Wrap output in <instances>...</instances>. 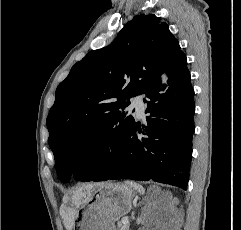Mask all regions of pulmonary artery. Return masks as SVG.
Listing matches in <instances>:
<instances>
[{"instance_id":"pulmonary-artery-1","label":"pulmonary artery","mask_w":241,"mask_h":230,"mask_svg":"<svg viewBox=\"0 0 241 230\" xmlns=\"http://www.w3.org/2000/svg\"><path fill=\"white\" fill-rule=\"evenodd\" d=\"M131 107L136 109L138 116L142 117L145 110L144 95H138L131 101Z\"/></svg>"}]
</instances>
